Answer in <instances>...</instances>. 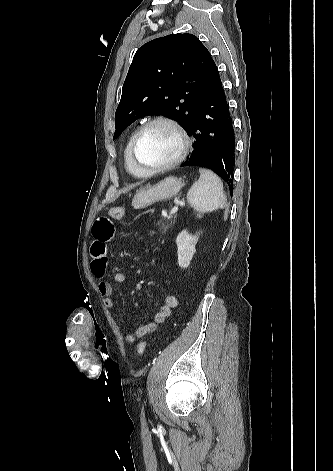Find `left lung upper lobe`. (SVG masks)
<instances>
[{
	"label": "left lung upper lobe",
	"instance_id": "5c2ea615",
	"mask_svg": "<svg viewBox=\"0 0 333 471\" xmlns=\"http://www.w3.org/2000/svg\"><path fill=\"white\" fill-rule=\"evenodd\" d=\"M216 64L192 34H171L140 47L116 110V139L135 120L161 114L187 131Z\"/></svg>",
	"mask_w": 333,
	"mask_h": 471
}]
</instances>
